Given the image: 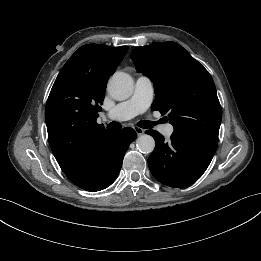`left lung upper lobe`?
Segmentation results:
<instances>
[{"label": "left lung upper lobe", "mask_w": 261, "mask_h": 261, "mask_svg": "<svg viewBox=\"0 0 261 261\" xmlns=\"http://www.w3.org/2000/svg\"><path fill=\"white\" fill-rule=\"evenodd\" d=\"M136 69L154 83L153 110L167 114L174 133L218 141L222 118L216 87L208 71L175 42L137 47Z\"/></svg>", "instance_id": "1"}]
</instances>
